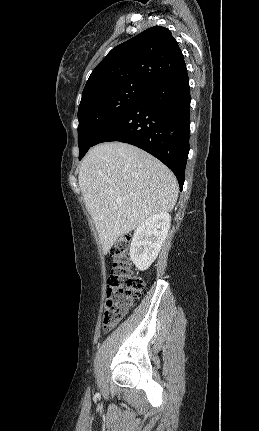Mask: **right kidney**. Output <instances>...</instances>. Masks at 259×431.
Instances as JSON below:
<instances>
[{"label":"right kidney","instance_id":"right-kidney-1","mask_svg":"<svg viewBox=\"0 0 259 431\" xmlns=\"http://www.w3.org/2000/svg\"><path fill=\"white\" fill-rule=\"evenodd\" d=\"M170 224V214L159 213L148 217L137 227L130 245V258L139 270H147L156 259Z\"/></svg>","mask_w":259,"mask_h":431}]
</instances>
